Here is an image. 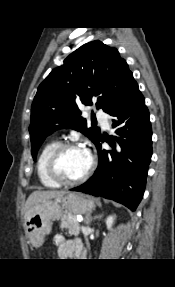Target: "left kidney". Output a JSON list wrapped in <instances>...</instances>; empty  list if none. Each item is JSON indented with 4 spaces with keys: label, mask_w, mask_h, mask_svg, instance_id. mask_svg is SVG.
<instances>
[{
    "label": "left kidney",
    "mask_w": 175,
    "mask_h": 287,
    "mask_svg": "<svg viewBox=\"0 0 175 287\" xmlns=\"http://www.w3.org/2000/svg\"><path fill=\"white\" fill-rule=\"evenodd\" d=\"M114 220H115V216H113V215L108 216V218L106 219V225H107L108 230H110L112 228Z\"/></svg>",
    "instance_id": "obj_1"
}]
</instances>
